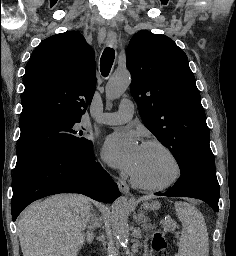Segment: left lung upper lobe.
Wrapping results in <instances>:
<instances>
[{"mask_svg":"<svg viewBox=\"0 0 236 256\" xmlns=\"http://www.w3.org/2000/svg\"><path fill=\"white\" fill-rule=\"evenodd\" d=\"M126 66L144 124L171 151L181 173L215 170L205 111L183 50L165 35L142 30L130 40Z\"/></svg>","mask_w":236,"mask_h":256,"instance_id":"obj_1","label":"left lung upper lobe"}]
</instances>
